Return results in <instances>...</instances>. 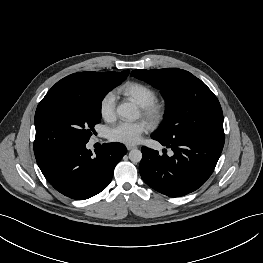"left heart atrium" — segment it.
<instances>
[{"label": "left heart atrium", "instance_id": "obj_1", "mask_svg": "<svg viewBox=\"0 0 263 263\" xmlns=\"http://www.w3.org/2000/svg\"><path fill=\"white\" fill-rule=\"evenodd\" d=\"M149 129L150 125L145 121L121 122L110 129L109 138L112 141L135 145Z\"/></svg>", "mask_w": 263, "mask_h": 263}]
</instances>
